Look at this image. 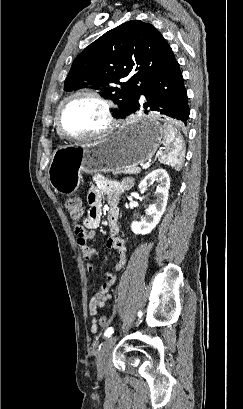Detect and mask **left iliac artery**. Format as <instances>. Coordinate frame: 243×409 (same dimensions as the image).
Instances as JSON below:
<instances>
[{"label":"left iliac artery","mask_w":243,"mask_h":409,"mask_svg":"<svg viewBox=\"0 0 243 409\" xmlns=\"http://www.w3.org/2000/svg\"><path fill=\"white\" fill-rule=\"evenodd\" d=\"M138 316L141 317V316H142V313H141V312H138ZM113 332H114V328L109 327V328L105 331L104 336H105V337H110V336L113 334Z\"/></svg>","instance_id":"obj_1"}]
</instances>
